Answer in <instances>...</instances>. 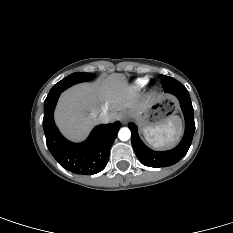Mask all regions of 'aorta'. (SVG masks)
<instances>
[{
	"label": "aorta",
	"instance_id": "1",
	"mask_svg": "<svg viewBox=\"0 0 233 233\" xmlns=\"http://www.w3.org/2000/svg\"><path fill=\"white\" fill-rule=\"evenodd\" d=\"M118 137L121 141H127L131 137V131L127 127H123L119 130Z\"/></svg>",
	"mask_w": 233,
	"mask_h": 233
}]
</instances>
